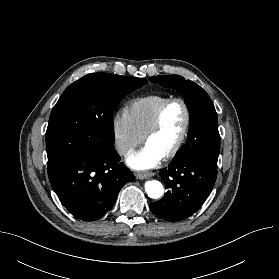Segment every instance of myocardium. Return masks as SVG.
Returning a JSON list of instances; mask_svg holds the SVG:
<instances>
[{"instance_id": "1", "label": "myocardium", "mask_w": 279, "mask_h": 279, "mask_svg": "<svg viewBox=\"0 0 279 279\" xmlns=\"http://www.w3.org/2000/svg\"><path fill=\"white\" fill-rule=\"evenodd\" d=\"M176 102L180 103L183 106L184 111H185L184 127H183L182 133H181L178 141L174 145V147L169 152H167L164 156H162L164 159H170V158H173L174 156H176L178 154V152L181 150V148L183 147V145L187 139L190 125H191V111H190V107H189L188 103L186 102V100L181 97H173V98H169L168 100H166L156 111L155 116L152 120V123L150 124V126L148 127V129L145 131V133L143 135V140H144L145 144H147L148 139L160 128L161 122H162V117H163L166 109L171 104L176 103Z\"/></svg>"}]
</instances>
